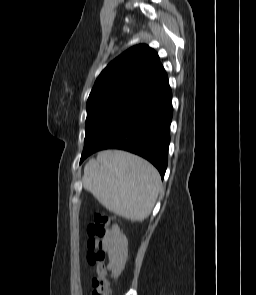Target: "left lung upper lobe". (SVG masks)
Returning <instances> with one entry per match:
<instances>
[{
    "label": "left lung upper lobe",
    "instance_id": "obj_1",
    "mask_svg": "<svg viewBox=\"0 0 256 295\" xmlns=\"http://www.w3.org/2000/svg\"><path fill=\"white\" fill-rule=\"evenodd\" d=\"M167 85L158 54L147 45H136L114 59L98 76L87 100L84 149Z\"/></svg>",
    "mask_w": 256,
    "mask_h": 295
}]
</instances>
